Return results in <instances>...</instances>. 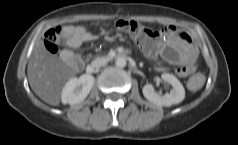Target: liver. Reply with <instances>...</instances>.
Masks as SVG:
<instances>
[{
  "label": "liver",
  "instance_id": "liver-1",
  "mask_svg": "<svg viewBox=\"0 0 238 145\" xmlns=\"http://www.w3.org/2000/svg\"><path fill=\"white\" fill-rule=\"evenodd\" d=\"M80 33L81 27H65L64 35ZM80 71L73 53L63 50L60 56L52 55L43 41L36 44L27 66L28 81L34 93L46 103L58 106L63 85Z\"/></svg>",
  "mask_w": 238,
  "mask_h": 145
}]
</instances>
